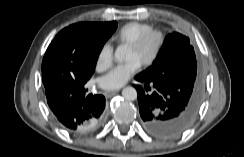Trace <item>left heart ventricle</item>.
Returning a JSON list of instances; mask_svg holds the SVG:
<instances>
[{"mask_svg": "<svg viewBox=\"0 0 244 157\" xmlns=\"http://www.w3.org/2000/svg\"><path fill=\"white\" fill-rule=\"evenodd\" d=\"M157 43H158L157 37H151L146 41V43L140 49L133 50L131 48H128L126 60L134 59L141 64L154 52Z\"/></svg>", "mask_w": 244, "mask_h": 157, "instance_id": "b2bd125f", "label": "left heart ventricle"}]
</instances>
